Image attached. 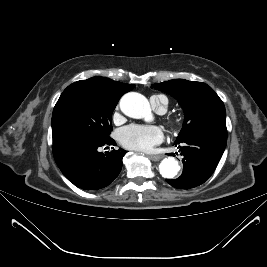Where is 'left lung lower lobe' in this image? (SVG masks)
Here are the masks:
<instances>
[{
  "instance_id": "0a47b994",
  "label": "left lung lower lobe",
  "mask_w": 267,
  "mask_h": 267,
  "mask_svg": "<svg viewBox=\"0 0 267 267\" xmlns=\"http://www.w3.org/2000/svg\"><path fill=\"white\" fill-rule=\"evenodd\" d=\"M227 143V135L206 133L190 137L175 146L183 155L182 175L166 181L177 189H190L204 183L216 169Z\"/></svg>"
}]
</instances>
